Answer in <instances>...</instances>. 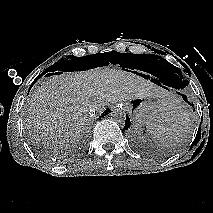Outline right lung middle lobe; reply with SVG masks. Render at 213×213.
Here are the masks:
<instances>
[{
    "label": "right lung middle lobe",
    "instance_id": "obj_1",
    "mask_svg": "<svg viewBox=\"0 0 213 213\" xmlns=\"http://www.w3.org/2000/svg\"><path fill=\"white\" fill-rule=\"evenodd\" d=\"M127 54L111 51L106 53H97L84 57H75L70 55L66 60H60L46 69V72L56 71H83L95 67L107 65L109 63L116 65L124 62ZM123 64V63H122Z\"/></svg>",
    "mask_w": 213,
    "mask_h": 213
}]
</instances>
